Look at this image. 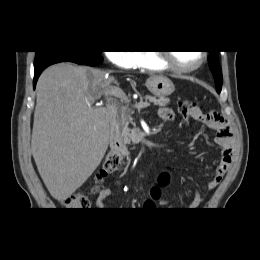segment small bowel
Returning <instances> with one entry per match:
<instances>
[{
  "label": "small bowel",
  "mask_w": 260,
  "mask_h": 260,
  "mask_svg": "<svg viewBox=\"0 0 260 260\" xmlns=\"http://www.w3.org/2000/svg\"><path fill=\"white\" fill-rule=\"evenodd\" d=\"M159 116L164 121H171L174 119V112L170 108L159 109ZM195 120L202 122L203 124L209 126L210 128L216 130V143L221 147L222 154L221 160L216 167L213 178L208 182L206 186L207 191H212L215 189L219 183L222 181L224 175L229 170L232 157H233V146H234V133L233 128L230 123H228L221 115L216 112H201L198 116L194 117ZM110 195L109 189H104L99 193L96 200V207L102 208L104 206L105 200ZM203 202V196L195 190L194 198L189 205L190 210L197 209ZM163 207L167 206V201H162L160 203ZM147 207H153V202L149 201L146 204Z\"/></svg>",
  "instance_id": "1"
}]
</instances>
